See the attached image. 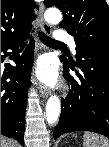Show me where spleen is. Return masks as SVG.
Instances as JSON below:
<instances>
[{"instance_id": "3e777b00", "label": "spleen", "mask_w": 109, "mask_h": 147, "mask_svg": "<svg viewBox=\"0 0 109 147\" xmlns=\"http://www.w3.org/2000/svg\"><path fill=\"white\" fill-rule=\"evenodd\" d=\"M83 147H109V140L102 135L85 132L83 135Z\"/></svg>"}]
</instances>
